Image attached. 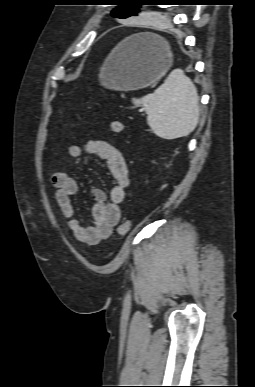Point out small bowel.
<instances>
[{"label": "small bowel", "instance_id": "obj_1", "mask_svg": "<svg viewBox=\"0 0 255 387\" xmlns=\"http://www.w3.org/2000/svg\"><path fill=\"white\" fill-rule=\"evenodd\" d=\"M68 154L76 161L85 155H96L107 163V168L114 179V185L109 193V200L101 189L92 191L94 204L91 209L93 224L83 225L77 218L72 197L79 191L77 181L67 173L55 172L51 182L55 189V200L67 220L68 227L74 237L87 245H96L107 240L121 218L120 205L124 201L129 185V171L122 150L107 141L89 140L84 145H71Z\"/></svg>", "mask_w": 255, "mask_h": 387}]
</instances>
